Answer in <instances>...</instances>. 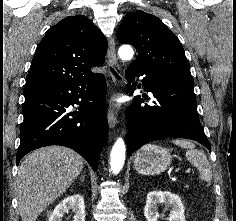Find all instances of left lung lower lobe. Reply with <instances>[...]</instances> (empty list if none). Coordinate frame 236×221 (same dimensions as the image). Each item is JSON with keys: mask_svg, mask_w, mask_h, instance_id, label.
Masks as SVG:
<instances>
[{"mask_svg": "<svg viewBox=\"0 0 236 221\" xmlns=\"http://www.w3.org/2000/svg\"><path fill=\"white\" fill-rule=\"evenodd\" d=\"M129 82L145 75L144 90L152 92L155 106L142 104L140 96L126 109L128 121V156L144 144L159 138L178 137L195 140L209 151L211 145L199 122L193 86L165 79L139 67L129 66L125 72ZM127 85V92L136 89ZM133 94V92H131Z\"/></svg>", "mask_w": 236, "mask_h": 221, "instance_id": "left-lung-lower-lobe-1", "label": "left lung lower lobe"}]
</instances>
